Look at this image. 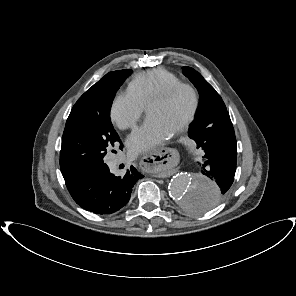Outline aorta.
Here are the masks:
<instances>
[{
	"mask_svg": "<svg viewBox=\"0 0 296 296\" xmlns=\"http://www.w3.org/2000/svg\"><path fill=\"white\" fill-rule=\"evenodd\" d=\"M169 195L188 214L209 211L217 199V184L203 175L176 174L169 183Z\"/></svg>",
	"mask_w": 296,
	"mask_h": 296,
	"instance_id": "obj_1",
	"label": "aorta"
}]
</instances>
